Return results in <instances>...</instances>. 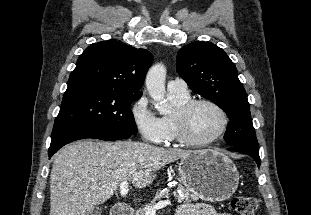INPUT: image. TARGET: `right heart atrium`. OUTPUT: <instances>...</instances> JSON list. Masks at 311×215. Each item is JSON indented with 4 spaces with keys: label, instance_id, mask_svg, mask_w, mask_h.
Wrapping results in <instances>:
<instances>
[{
    "label": "right heart atrium",
    "instance_id": "obj_1",
    "mask_svg": "<svg viewBox=\"0 0 311 215\" xmlns=\"http://www.w3.org/2000/svg\"><path fill=\"white\" fill-rule=\"evenodd\" d=\"M130 112L135 127L146 141L161 144L168 140L166 123L155 114L144 94L134 100Z\"/></svg>",
    "mask_w": 311,
    "mask_h": 215
}]
</instances>
